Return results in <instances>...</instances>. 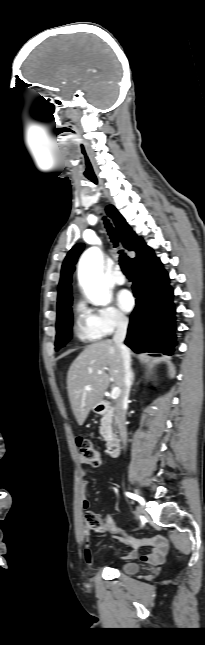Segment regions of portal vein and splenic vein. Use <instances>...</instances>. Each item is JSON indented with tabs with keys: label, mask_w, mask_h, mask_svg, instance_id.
<instances>
[{
	"label": "portal vein and splenic vein",
	"mask_w": 205,
	"mask_h": 645,
	"mask_svg": "<svg viewBox=\"0 0 205 645\" xmlns=\"http://www.w3.org/2000/svg\"><path fill=\"white\" fill-rule=\"evenodd\" d=\"M98 374H102V371H99V372H98ZM87 389H90V388H89V387H87ZM120 393H121L120 388H119V387H114V388L112 389V392H111L110 397H111L112 399H117V398L120 396Z\"/></svg>",
	"instance_id": "portal-vein-and-splenic-vein-1"
}]
</instances>
